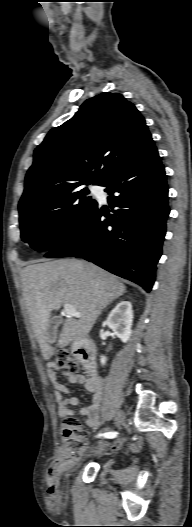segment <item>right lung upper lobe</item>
<instances>
[{"instance_id":"obj_1","label":"right lung upper lobe","mask_w":192,"mask_h":527,"mask_svg":"<svg viewBox=\"0 0 192 527\" xmlns=\"http://www.w3.org/2000/svg\"><path fill=\"white\" fill-rule=\"evenodd\" d=\"M151 140L145 119L123 95L90 98L35 149L19 206L83 184L101 185Z\"/></svg>"}]
</instances>
